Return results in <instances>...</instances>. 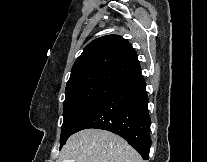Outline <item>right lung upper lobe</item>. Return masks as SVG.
<instances>
[{"label": "right lung upper lobe", "instance_id": "cb5924a9", "mask_svg": "<svg viewBox=\"0 0 207 162\" xmlns=\"http://www.w3.org/2000/svg\"><path fill=\"white\" fill-rule=\"evenodd\" d=\"M140 72L137 54L128 41L107 35L89 43L75 61L66 91L90 86H118Z\"/></svg>", "mask_w": 207, "mask_h": 162}]
</instances>
